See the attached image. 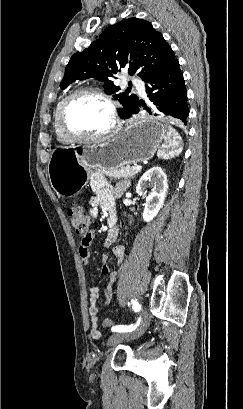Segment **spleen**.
<instances>
[{
    "mask_svg": "<svg viewBox=\"0 0 243 409\" xmlns=\"http://www.w3.org/2000/svg\"><path fill=\"white\" fill-rule=\"evenodd\" d=\"M166 132L164 136V143L157 152V156L160 159H171L182 152V139L178 132L171 126H165Z\"/></svg>",
    "mask_w": 243,
    "mask_h": 409,
    "instance_id": "3e777b00",
    "label": "spleen"
}]
</instances>
